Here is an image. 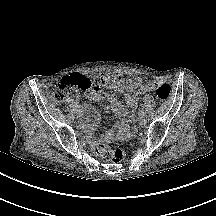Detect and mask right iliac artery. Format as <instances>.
<instances>
[{
    "instance_id": "right-iliac-artery-1",
    "label": "right iliac artery",
    "mask_w": 216,
    "mask_h": 216,
    "mask_svg": "<svg viewBox=\"0 0 216 216\" xmlns=\"http://www.w3.org/2000/svg\"><path fill=\"white\" fill-rule=\"evenodd\" d=\"M77 113H82V108H77Z\"/></svg>"
}]
</instances>
